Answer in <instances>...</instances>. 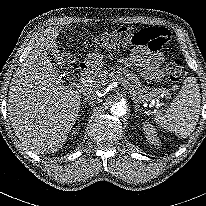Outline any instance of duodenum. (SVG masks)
<instances>
[{
    "instance_id": "obj_1",
    "label": "duodenum",
    "mask_w": 206,
    "mask_h": 206,
    "mask_svg": "<svg viewBox=\"0 0 206 206\" xmlns=\"http://www.w3.org/2000/svg\"><path fill=\"white\" fill-rule=\"evenodd\" d=\"M87 70H88L87 68H83L81 66H78L77 68H75V75L82 76V75L86 74Z\"/></svg>"
}]
</instances>
